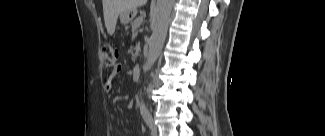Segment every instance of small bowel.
Listing matches in <instances>:
<instances>
[{
	"instance_id": "small-bowel-1",
	"label": "small bowel",
	"mask_w": 325,
	"mask_h": 136,
	"mask_svg": "<svg viewBox=\"0 0 325 136\" xmlns=\"http://www.w3.org/2000/svg\"><path fill=\"white\" fill-rule=\"evenodd\" d=\"M119 71H120V67L115 68L111 72V74L109 75V77L106 79V81H105V89L107 91H110L112 89L114 78L119 73Z\"/></svg>"
}]
</instances>
